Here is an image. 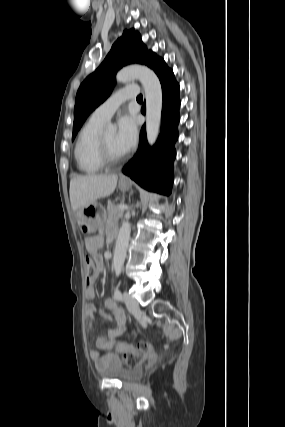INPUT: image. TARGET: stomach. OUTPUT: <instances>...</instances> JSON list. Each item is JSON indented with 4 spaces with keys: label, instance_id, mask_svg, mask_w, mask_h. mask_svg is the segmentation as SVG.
Returning <instances> with one entry per match:
<instances>
[{
    "label": "stomach",
    "instance_id": "stomach-1",
    "mask_svg": "<svg viewBox=\"0 0 285 427\" xmlns=\"http://www.w3.org/2000/svg\"><path fill=\"white\" fill-rule=\"evenodd\" d=\"M131 182H119V189L123 192L130 190ZM105 222L103 208L97 203L91 204L78 212L80 229L88 235L93 234Z\"/></svg>",
    "mask_w": 285,
    "mask_h": 427
}]
</instances>
